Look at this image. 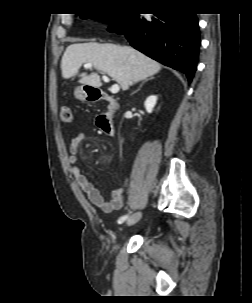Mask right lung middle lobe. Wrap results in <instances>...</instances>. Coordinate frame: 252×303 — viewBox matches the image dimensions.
<instances>
[{"mask_svg":"<svg viewBox=\"0 0 252 303\" xmlns=\"http://www.w3.org/2000/svg\"><path fill=\"white\" fill-rule=\"evenodd\" d=\"M80 15L84 19L89 18V17L95 18L96 16H99L100 19L109 21L110 25H115L128 14H124V13L86 14V13H83Z\"/></svg>","mask_w":252,"mask_h":303,"instance_id":"1","label":"right lung middle lobe"}]
</instances>
